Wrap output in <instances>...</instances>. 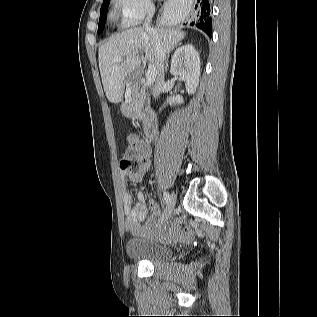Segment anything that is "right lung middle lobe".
Returning a JSON list of instances; mask_svg holds the SVG:
<instances>
[{"label":"right lung middle lobe","mask_w":317,"mask_h":317,"mask_svg":"<svg viewBox=\"0 0 317 317\" xmlns=\"http://www.w3.org/2000/svg\"><path fill=\"white\" fill-rule=\"evenodd\" d=\"M109 3H110V0H104L101 6L100 19H99L98 31H97L98 33H101L103 31Z\"/></svg>","instance_id":"1"}]
</instances>
